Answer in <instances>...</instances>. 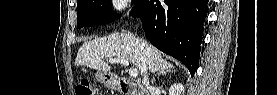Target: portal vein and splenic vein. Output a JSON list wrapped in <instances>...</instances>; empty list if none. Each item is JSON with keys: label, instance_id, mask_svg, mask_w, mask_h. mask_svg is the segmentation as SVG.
<instances>
[{"label": "portal vein and splenic vein", "instance_id": "18ae733b", "mask_svg": "<svg viewBox=\"0 0 277 95\" xmlns=\"http://www.w3.org/2000/svg\"><path fill=\"white\" fill-rule=\"evenodd\" d=\"M109 62H110V63H121V64H123V65H125V66H128V65H129V61L126 60V59L111 58V59H109ZM129 75H130L131 77H137V76H138V70H137V69H130V70H129Z\"/></svg>", "mask_w": 277, "mask_h": 95}]
</instances>
